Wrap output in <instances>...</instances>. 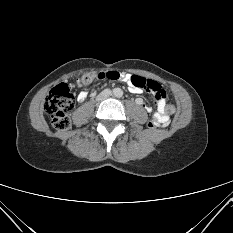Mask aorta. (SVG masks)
<instances>
[{
    "label": "aorta",
    "instance_id": "1",
    "mask_svg": "<svg viewBox=\"0 0 233 233\" xmlns=\"http://www.w3.org/2000/svg\"><path fill=\"white\" fill-rule=\"evenodd\" d=\"M113 93L116 97H121L123 95V91L120 88H115Z\"/></svg>",
    "mask_w": 233,
    "mask_h": 233
}]
</instances>
